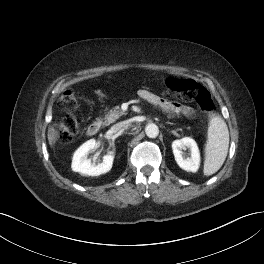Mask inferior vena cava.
<instances>
[{"label": "inferior vena cava", "instance_id": "obj_1", "mask_svg": "<svg viewBox=\"0 0 264 264\" xmlns=\"http://www.w3.org/2000/svg\"><path fill=\"white\" fill-rule=\"evenodd\" d=\"M125 124L126 123H122V122L118 123V124H115L114 126H112L111 130L113 132H117V131L121 130L124 127Z\"/></svg>", "mask_w": 264, "mask_h": 264}]
</instances>
